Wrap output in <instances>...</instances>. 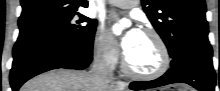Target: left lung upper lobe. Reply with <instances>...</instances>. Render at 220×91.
I'll list each match as a JSON object with an SVG mask.
<instances>
[{
    "label": "left lung upper lobe",
    "mask_w": 220,
    "mask_h": 91,
    "mask_svg": "<svg viewBox=\"0 0 220 91\" xmlns=\"http://www.w3.org/2000/svg\"><path fill=\"white\" fill-rule=\"evenodd\" d=\"M142 6L171 57L184 46L209 44L204 0H142Z\"/></svg>",
    "instance_id": "5c2ea615"
}]
</instances>
